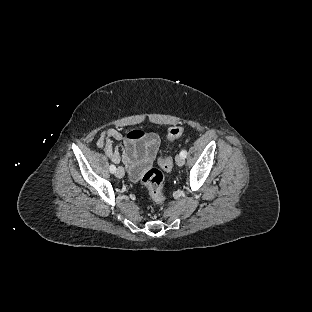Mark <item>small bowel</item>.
Masks as SVG:
<instances>
[{"instance_id":"c3829d8e","label":"small bowel","mask_w":312,"mask_h":312,"mask_svg":"<svg viewBox=\"0 0 312 312\" xmlns=\"http://www.w3.org/2000/svg\"><path fill=\"white\" fill-rule=\"evenodd\" d=\"M114 140L121 142L120 147L113 144ZM97 146L113 163L123 162L130 179L137 182L156 159L160 138L154 132L134 129L124 134L110 128L100 133Z\"/></svg>"}]
</instances>
